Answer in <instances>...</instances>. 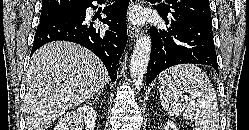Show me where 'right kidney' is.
<instances>
[{
	"label": "right kidney",
	"instance_id": "1",
	"mask_svg": "<svg viewBox=\"0 0 249 130\" xmlns=\"http://www.w3.org/2000/svg\"><path fill=\"white\" fill-rule=\"evenodd\" d=\"M96 112L92 106L83 105L60 119L55 130H94Z\"/></svg>",
	"mask_w": 249,
	"mask_h": 130
}]
</instances>
